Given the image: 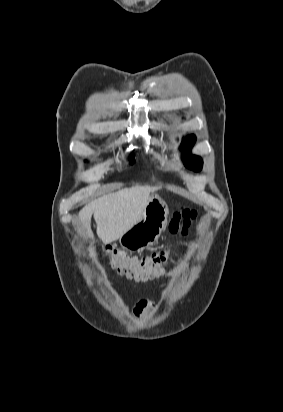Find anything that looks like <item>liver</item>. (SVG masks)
I'll return each instance as SVG.
<instances>
[{
	"instance_id": "6515ba94",
	"label": "liver",
	"mask_w": 283,
	"mask_h": 412,
	"mask_svg": "<svg viewBox=\"0 0 283 412\" xmlns=\"http://www.w3.org/2000/svg\"><path fill=\"white\" fill-rule=\"evenodd\" d=\"M157 189L137 185L104 195L84 206L78 217L88 237H94L91 230L94 215L97 235L102 242L109 244L118 240L141 220L150 193Z\"/></svg>"
}]
</instances>
